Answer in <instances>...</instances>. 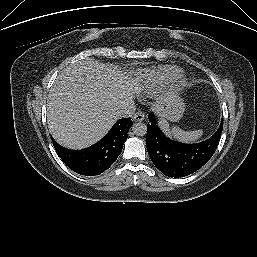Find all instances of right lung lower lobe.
I'll return each instance as SVG.
<instances>
[{
	"mask_svg": "<svg viewBox=\"0 0 257 257\" xmlns=\"http://www.w3.org/2000/svg\"><path fill=\"white\" fill-rule=\"evenodd\" d=\"M131 125L130 118L119 119L102 140L82 150H70L59 145L53 138L52 141L59 157L71 170L86 176L99 175L121 153Z\"/></svg>",
	"mask_w": 257,
	"mask_h": 257,
	"instance_id": "right-lung-lower-lobe-1",
	"label": "right lung lower lobe"
}]
</instances>
